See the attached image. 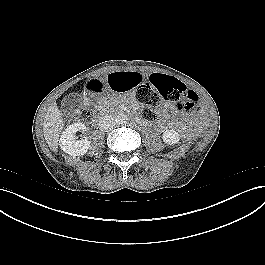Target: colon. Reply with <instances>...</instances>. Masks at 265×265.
<instances>
[{
  "instance_id": "obj_1",
  "label": "colon",
  "mask_w": 265,
  "mask_h": 265,
  "mask_svg": "<svg viewBox=\"0 0 265 265\" xmlns=\"http://www.w3.org/2000/svg\"><path fill=\"white\" fill-rule=\"evenodd\" d=\"M150 85H141L136 91V99L141 105V116L149 122L158 119L156 110L163 102L173 103L180 112H192L199 107L198 95L187 88L180 80L164 76L160 71H153L149 75ZM91 109H83L74 115L75 118L90 120L93 118Z\"/></svg>"
}]
</instances>
